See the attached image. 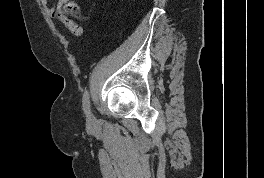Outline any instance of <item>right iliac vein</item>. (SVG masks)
Listing matches in <instances>:
<instances>
[{
	"label": "right iliac vein",
	"mask_w": 264,
	"mask_h": 178,
	"mask_svg": "<svg viewBox=\"0 0 264 178\" xmlns=\"http://www.w3.org/2000/svg\"><path fill=\"white\" fill-rule=\"evenodd\" d=\"M87 118H88V123L89 124H93V122H94L93 115L89 113L88 116H87Z\"/></svg>",
	"instance_id": "1"
}]
</instances>
